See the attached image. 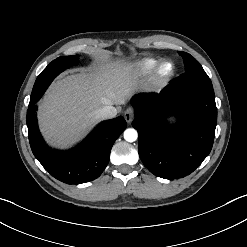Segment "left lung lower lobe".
<instances>
[{"label":"left lung lower lobe","instance_id":"0a47b994","mask_svg":"<svg viewBox=\"0 0 247 247\" xmlns=\"http://www.w3.org/2000/svg\"><path fill=\"white\" fill-rule=\"evenodd\" d=\"M132 105L139 156L155 176L183 178L209 155L217 123L213 87L179 86L173 81L160 94L134 96ZM169 115L179 119L174 129L167 126Z\"/></svg>","mask_w":247,"mask_h":247}]
</instances>
